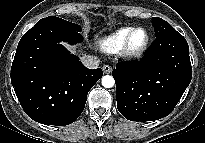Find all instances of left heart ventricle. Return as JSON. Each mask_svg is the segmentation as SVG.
Masks as SVG:
<instances>
[{"instance_id": "b2bd125f", "label": "left heart ventricle", "mask_w": 205, "mask_h": 143, "mask_svg": "<svg viewBox=\"0 0 205 143\" xmlns=\"http://www.w3.org/2000/svg\"><path fill=\"white\" fill-rule=\"evenodd\" d=\"M145 39H146V33L142 30L137 31L132 37L131 47L133 49H137L141 47L143 43L145 42Z\"/></svg>"}]
</instances>
